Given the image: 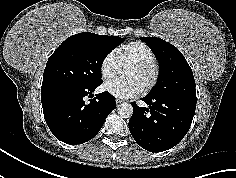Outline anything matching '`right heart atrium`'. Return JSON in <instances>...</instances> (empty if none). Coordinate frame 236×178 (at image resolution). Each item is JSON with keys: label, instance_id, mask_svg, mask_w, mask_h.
<instances>
[{"label": "right heart atrium", "instance_id": "1", "mask_svg": "<svg viewBox=\"0 0 236 178\" xmlns=\"http://www.w3.org/2000/svg\"><path fill=\"white\" fill-rule=\"evenodd\" d=\"M100 74L105 81L112 80L120 70V64L114 52L107 53L100 62Z\"/></svg>", "mask_w": 236, "mask_h": 178}]
</instances>
